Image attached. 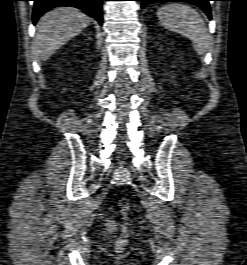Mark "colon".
Returning a JSON list of instances; mask_svg holds the SVG:
<instances>
[{
    "mask_svg": "<svg viewBox=\"0 0 247 265\" xmlns=\"http://www.w3.org/2000/svg\"><path fill=\"white\" fill-rule=\"evenodd\" d=\"M118 208L124 220V225L122 232L116 241V249L122 251L127 246L129 240L128 220H129V212L131 210L130 200L126 197H122L119 200Z\"/></svg>",
    "mask_w": 247,
    "mask_h": 265,
    "instance_id": "1",
    "label": "colon"
}]
</instances>
